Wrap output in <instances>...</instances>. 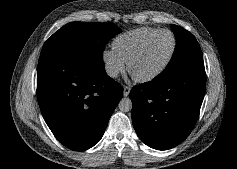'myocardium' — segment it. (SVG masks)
<instances>
[{"label":"myocardium","mask_w":237,"mask_h":169,"mask_svg":"<svg viewBox=\"0 0 237 169\" xmlns=\"http://www.w3.org/2000/svg\"><path fill=\"white\" fill-rule=\"evenodd\" d=\"M162 33H168L171 38H172V48L171 51L168 55V57L166 58V60L162 63V65L157 68L156 70H154L153 72L145 75V76H136L133 72H132V65L133 63L143 54L144 50L147 48V46L160 34ZM175 50H176V39L174 34L167 29H162V30H158L157 32H155L153 35H151L148 39H146L141 45L140 47L135 51V53L131 56V58L129 59V61L127 62V69L128 72L131 74L132 78L139 83H145V82H149L151 80H153L154 78L158 77L169 65V63L171 62L174 54H175Z\"/></svg>","instance_id":"myocardium-1"}]
</instances>
